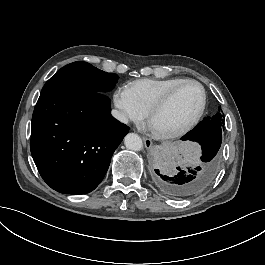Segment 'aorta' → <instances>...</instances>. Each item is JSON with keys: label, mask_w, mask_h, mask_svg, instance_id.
Segmentation results:
<instances>
[{"label": "aorta", "mask_w": 265, "mask_h": 265, "mask_svg": "<svg viewBox=\"0 0 265 265\" xmlns=\"http://www.w3.org/2000/svg\"><path fill=\"white\" fill-rule=\"evenodd\" d=\"M124 144L127 149L140 151L143 148L142 139L135 133H128L124 138Z\"/></svg>", "instance_id": "1"}]
</instances>
